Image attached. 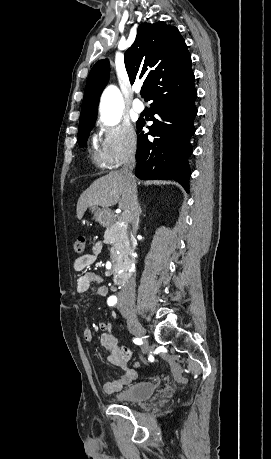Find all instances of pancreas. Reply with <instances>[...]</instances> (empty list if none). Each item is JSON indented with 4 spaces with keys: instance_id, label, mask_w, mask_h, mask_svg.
<instances>
[{
    "instance_id": "cf45deb5",
    "label": "pancreas",
    "mask_w": 271,
    "mask_h": 459,
    "mask_svg": "<svg viewBox=\"0 0 271 459\" xmlns=\"http://www.w3.org/2000/svg\"><path fill=\"white\" fill-rule=\"evenodd\" d=\"M124 220V226H120ZM128 220L129 218H118V222L107 228L104 235L107 241H113L116 249H118L122 256H128L131 253V250L128 248L130 245Z\"/></svg>"
}]
</instances>
